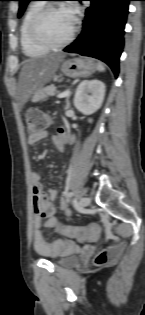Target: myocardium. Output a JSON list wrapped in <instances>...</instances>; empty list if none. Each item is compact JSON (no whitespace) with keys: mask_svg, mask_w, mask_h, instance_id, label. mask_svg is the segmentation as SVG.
I'll return each mask as SVG.
<instances>
[{"mask_svg":"<svg viewBox=\"0 0 145 315\" xmlns=\"http://www.w3.org/2000/svg\"><path fill=\"white\" fill-rule=\"evenodd\" d=\"M61 9L57 5L47 4L44 5L41 9H39L35 15L32 17L29 24V35L32 41L40 47H43L47 50H55L59 48H63L68 45L74 38L77 31V23L74 21L73 28L69 35L60 42H50L46 40L40 33V24L46 14L51 11Z\"/></svg>","mask_w":145,"mask_h":315,"instance_id":"1","label":"myocardium"}]
</instances>
